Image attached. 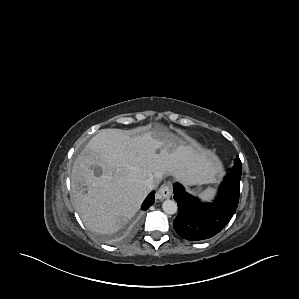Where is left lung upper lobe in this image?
I'll use <instances>...</instances> for the list:
<instances>
[{
    "instance_id": "5c2ea615",
    "label": "left lung upper lobe",
    "mask_w": 299,
    "mask_h": 299,
    "mask_svg": "<svg viewBox=\"0 0 299 299\" xmlns=\"http://www.w3.org/2000/svg\"><path fill=\"white\" fill-rule=\"evenodd\" d=\"M234 172L240 173L242 172V164L239 158L235 159V165L234 167L231 169Z\"/></svg>"
}]
</instances>
